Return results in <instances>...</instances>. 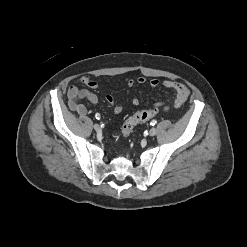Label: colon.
<instances>
[{
	"label": "colon",
	"instance_id": "5ec220e1",
	"mask_svg": "<svg viewBox=\"0 0 247 247\" xmlns=\"http://www.w3.org/2000/svg\"><path fill=\"white\" fill-rule=\"evenodd\" d=\"M157 114V111L154 109L142 110L134 113L131 117H129L123 124L121 135L123 137L128 136L133 128L139 124L146 122L153 118Z\"/></svg>",
	"mask_w": 247,
	"mask_h": 247
}]
</instances>
